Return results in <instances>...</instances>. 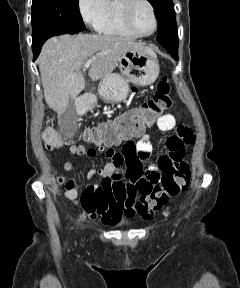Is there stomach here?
Instances as JSON below:
<instances>
[{
    "mask_svg": "<svg viewBox=\"0 0 240 288\" xmlns=\"http://www.w3.org/2000/svg\"><path fill=\"white\" fill-rule=\"evenodd\" d=\"M118 62L121 74L111 73L105 76L98 86L100 97L107 103L126 99L130 92L129 83L147 86L154 83L159 75L157 57L147 50H127Z\"/></svg>",
    "mask_w": 240,
    "mask_h": 288,
    "instance_id": "0dacf381",
    "label": "stomach"
}]
</instances>
